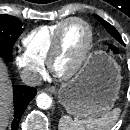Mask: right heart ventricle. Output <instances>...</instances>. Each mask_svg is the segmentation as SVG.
<instances>
[{"label":"right heart ventricle","mask_w":130,"mask_h":130,"mask_svg":"<svg viewBox=\"0 0 130 130\" xmlns=\"http://www.w3.org/2000/svg\"><path fill=\"white\" fill-rule=\"evenodd\" d=\"M66 20L39 26L22 38V43L32 57L42 62L48 58L54 36Z\"/></svg>","instance_id":"right-heart-ventricle-1"}]
</instances>
